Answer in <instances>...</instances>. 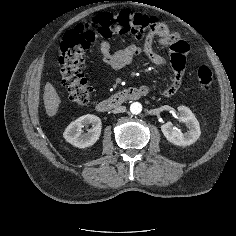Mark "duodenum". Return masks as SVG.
Returning a JSON list of instances; mask_svg holds the SVG:
<instances>
[{
  "instance_id": "obj_1",
  "label": "duodenum",
  "mask_w": 236,
  "mask_h": 236,
  "mask_svg": "<svg viewBox=\"0 0 236 236\" xmlns=\"http://www.w3.org/2000/svg\"><path fill=\"white\" fill-rule=\"evenodd\" d=\"M147 93V90L143 87H129L115 93L108 99L99 101L96 103L95 108L99 112H107L123 105L125 102L137 100Z\"/></svg>"
}]
</instances>
